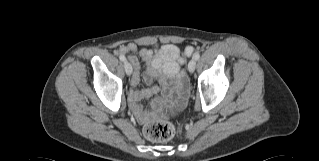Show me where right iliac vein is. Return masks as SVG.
<instances>
[{"label": "right iliac vein", "instance_id": "63e3f726", "mask_svg": "<svg viewBox=\"0 0 319 161\" xmlns=\"http://www.w3.org/2000/svg\"><path fill=\"white\" fill-rule=\"evenodd\" d=\"M124 69L127 75H131L133 69H132V65L129 62L126 61L124 63Z\"/></svg>", "mask_w": 319, "mask_h": 161}]
</instances>
